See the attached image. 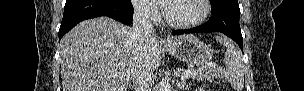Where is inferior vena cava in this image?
I'll return each instance as SVG.
<instances>
[{
    "mask_svg": "<svg viewBox=\"0 0 304 91\" xmlns=\"http://www.w3.org/2000/svg\"><path fill=\"white\" fill-rule=\"evenodd\" d=\"M132 33L136 41V52L142 56L147 50L146 42L149 38L155 36L150 20V10L147 6H134ZM133 82L135 91H150V86L153 82V69L142 57L136 63Z\"/></svg>",
    "mask_w": 304,
    "mask_h": 91,
    "instance_id": "inferior-vena-cava-1",
    "label": "inferior vena cava"
}]
</instances>
